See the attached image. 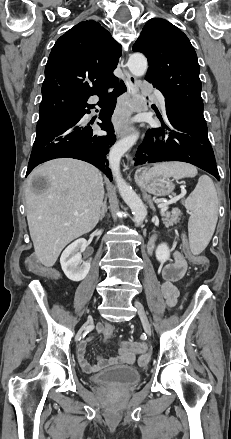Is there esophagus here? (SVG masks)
<instances>
[{"label":"esophagus","mask_w":231,"mask_h":439,"mask_svg":"<svg viewBox=\"0 0 231 439\" xmlns=\"http://www.w3.org/2000/svg\"><path fill=\"white\" fill-rule=\"evenodd\" d=\"M122 69L123 73L125 75V83L127 86V91L129 95L134 98L137 95L138 92V83L136 78L127 70L126 65L122 61ZM131 112H129L130 114ZM115 127V134L117 138H122L126 136L127 134L131 133L134 130V126L129 125L127 122H119L114 125ZM130 158V156H128Z\"/></svg>","instance_id":"esophagus-1"}]
</instances>
